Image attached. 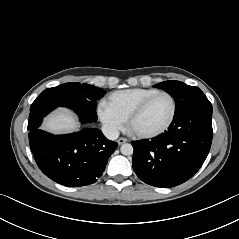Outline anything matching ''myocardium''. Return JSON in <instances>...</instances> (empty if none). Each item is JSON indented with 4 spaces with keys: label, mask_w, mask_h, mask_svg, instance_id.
Returning <instances> with one entry per match:
<instances>
[{
    "label": "myocardium",
    "mask_w": 239,
    "mask_h": 239,
    "mask_svg": "<svg viewBox=\"0 0 239 239\" xmlns=\"http://www.w3.org/2000/svg\"><path fill=\"white\" fill-rule=\"evenodd\" d=\"M159 95H165L167 96L172 103V113L171 116L168 120V122L161 127L160 129L153 131V132H148V133H138V132H134L131 128L133 121L142 113V111L145 109V107L157 96ZM177 115V102L176 99L174 98V96L167 92V91H157L151 95H149L148 97H146L145 99H143L139 104H137V106L130 112V114L127 117V128L129 130L130 133H132L134 136L141 138V139H151V138H155L158 137L162 134H164L166 131H168L170 129V127L172 126V124L175 121Z\"/></svg>",
    "instance_id": "f54148a6"
}]
</instances>
